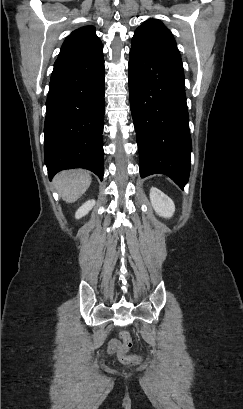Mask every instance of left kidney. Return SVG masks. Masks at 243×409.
<instances>
[{
	"mask_svg": "<svg viewBox=\"0 0 243 409\" xmlns=\"http://www.w3.org/2000/svg\"><path fill=\"white\" fill-rule=\"evenodd\" d=\"M150 200L155 212L164 218H170L175 212L173 201L159 189H150Z\"/></svg>",
	"mask_w": 243,
	"mask_h": 409,
	"instance_id": "1",
	"label": "left kidney"
}]
</instances>
